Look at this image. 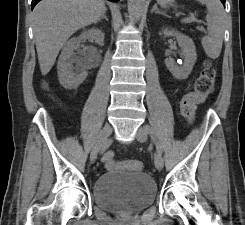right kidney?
<instances>
[{
  "label": "right kidney",
  "instance_id": "right-kidney-1",
  "mask_svg": "<svg viewBox=\"0 0 245 225\" xmlns=\"http://www.w3.org/2000/svg\"><path fill=\"white\" fill-rule=\"evenodd\" d=\"M92 39L97 44L103 45L104 33L100 29L92 28L84 31L79 37L71 38L63 47L57 63V72L60 84L66 89H76L86 79L88 73L83 71L82 59L75 56L74 51L80 46L81 41ZM76 63V66L73 64Z\"/></svg>",
  "mask_w": 245,
  "mask_h": 225
}]
</instances>
